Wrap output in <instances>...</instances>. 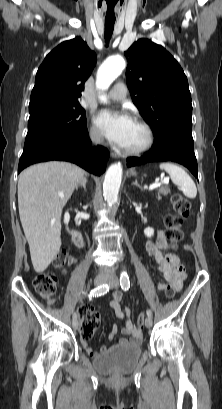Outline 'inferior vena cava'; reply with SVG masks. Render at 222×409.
<instances>
[{"instance_id":"1","label":"inferior vena cava","mask_w":222,"mask_h":409,"mask_svg":"<svg viewBox=\"0 0 222 409\" xmlns=\"http://www.w3.org/2000/svg\"><path fill=\"white\" fill-rule=\"evenodd\" d=\"M101 140H102V136H101L100 133H94V134L92 135V141H93V142L98 143V142H100Z\"/></svg>"}]
</instances>
